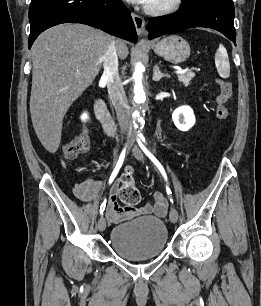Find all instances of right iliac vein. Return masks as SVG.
Returning <instances> with one entry per match:
<instances>
[{
    "label": "right iliac vein",
    "instance_id": "obj_1",
    "mask_svg": "<svg viewBox=\"0 0 261 306\" xmlns=\"http://www.w3.org/2000/svg\"><path fill=\"white\" fill-rule=\"evenodd\" d=\"M98 228L101 232H103L106 228V220L103 216L98 221Z\"/></svg>",
    "mask_w": 261,
    "mask_h": 306
}]
</instances>
